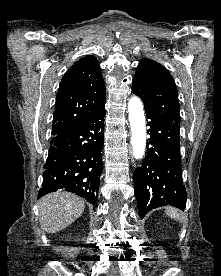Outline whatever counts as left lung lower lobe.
<instances>
[{
  "mask_svg": "<svg viewBox=\"0 0 221 276\" xmlns=\"http://www.w3.org/2000/svg\"><path fill=\"white\" fill-rule=\"evenodd\" d=\"M147 154L134 172V190L141 218L151 209L171 205L183 209L187 193L182 181L179 124L147 115Z\"/></svg>",
  "mask_w": 221,
  "mask_h": 276,
  "instance_id": "1",
  "label": "left lung lower lobe"
}]
</instances>
